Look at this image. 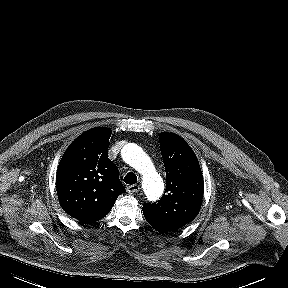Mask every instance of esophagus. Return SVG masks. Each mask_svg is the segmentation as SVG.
Wrapping results in <instances>:
<instances>
[{"label": "esophagus", "instance_id": "1", "mask_svg": "<svg viewBox=\"0 0 288 288\" xmlns=\"http://www.w3.org/2000/svg\"><path fill=\"white\" fill-rule=\"evenodd\" d=\"M139 190H140V186H139V185H136V184H134V185H129V186L127 187V192H128L129 194L137 193Z\"/></svg>", "mask_w": 288, "mask_h": 288}]
</instances>
